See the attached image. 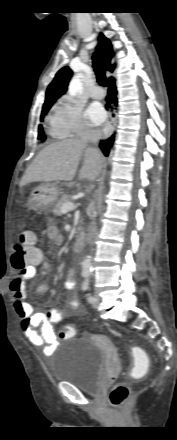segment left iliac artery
<instances>
[{
	"label": "left iliac artery",
	"instance_id": "44dca946",
	"mask_svg": "<svg viewBox=\"0 0 177 440\" xmlns=\"http://www.w3.org/2000/svg\"><path fill=\"white\" fill-rule=\"evenodd\" d=\"M89 284H90V282H89V278H86V279L84 280V282L82 283V290H83V291H87V290L89 289ZM87 300H88L89 303H94V302L96 301V299L94 298V296H88V297H87Z\"/></svg>",
	"mask_w": 177,
	"mask_h": 440
}]
</instances>
